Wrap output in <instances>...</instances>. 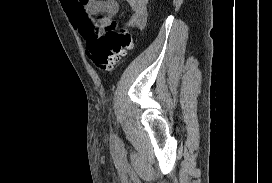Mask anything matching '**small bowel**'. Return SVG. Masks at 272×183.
<instances>
[{
    "label": "small bowel",
    "instance_id": "c3829d8e",
    "mask_svg": "<svg viewBox=\"0 0 272 183\" xmlns=\"http://www.w3.org/2000/svg\"><path fill=\"white\" fill-rule=\"evenodd\" d=\"M131 10L133 16L129 25L142 27L147 18L148 0H123ZM63 8L85 41L105 34L106 29L115 30L112 25L114 16L118 13L119 5L116 0H61Z\"/></svg>",
    "mask_w": 272,
    "mask_h": 183
}]
</instances>
